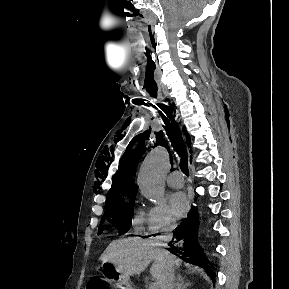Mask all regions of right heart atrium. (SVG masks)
<instances>
[{
    "label": "right heart atrium",
    "instance_id": "1",
    "mask_svg": "<svg viewBox=\"0 0 289 289\" xmlns=\"http://www.w3.org/2000/svg\"><path fill=\"white\" fill-rule=\"evenodd\" d=\"M147 229L151 233H159L175 227L176 220L168 207L161 203L151 206L147 211Z\"/></svg>",
    "mask_w": 289,
    "mask_h": 289
}]
</instances>
